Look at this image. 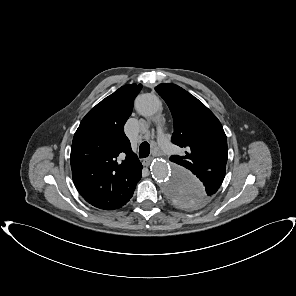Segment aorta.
Returning a JSON list of instances; mask_svg holds the SVG:
<instances>
[{"label":"aorta","instance_id":"762f6f07","mask_svg":"<svg viewBox=\"0 0 296 296\" xmlns=\"http://www.w3.org/2000/svg\"><path fill=\"white\" fill-rule=\"evenodd\" d=\"M135 109L142 116L159 119L162 103L155 95L141 94L135 100ZM151 173L160 183L166 199L181 210H196L204 202V187L184 166L169 165L157 159L151 165Z\"/></svg>","mask_w":296,"mask_h":296}]
</instances>
